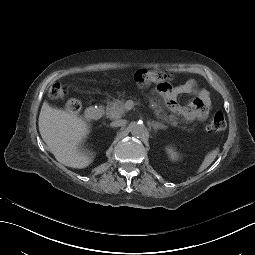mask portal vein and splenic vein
I'll list each match as a JSON object with an SVG mask.
<instances>
[{"label": "portal vein and splenic vein", "instance_id": "obj_1", "mask_svg": "<svg viewBox=\"0 0 255 255\" xmlns=\"http://www.w3.org/2000/svg\"><path fill=\"white\" fill-rule=\"evenodd\" d=\"M127 112H132V108H134L133 99H128L126 102Z\"/></svg>", "mask_w": 255, "mask_h": 255}]
</instances>
